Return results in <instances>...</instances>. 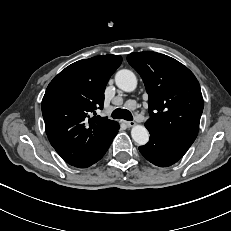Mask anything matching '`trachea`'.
<instances>
[{"label": "trachea", "mask_w": 231, "mask_h": 231, "mask_svg": "<svg viewBox=\"0 0 231 231\" xmlns=\"http://www.w3.org/2000/svg\"><path fill=\"white\" fill-rule=\"evenodd\" d=\"M111 116L113 117V119H124L127 121L133 120V116H132L131 112L126 110V109H121V108L115 109L112 112Z\"/></svg>", "instance_id": "trachea-1"}]
</instances>
